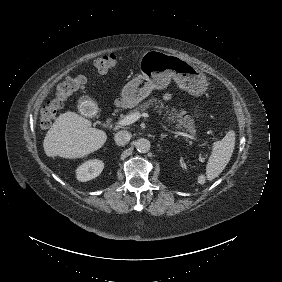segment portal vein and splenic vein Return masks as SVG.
I'll return each mask as SVG.
<instances>
[{"label": "portal vein and splenic vein", "instance_id": "portal-vein-and-splenic-vein-1", "mask_svg": "<svg viewBox=\"0 0 282 282\" xmlns=\"http://www.w3.org/2000/svg\"><path fill=\"white\" fill-rule=\"evenodd\" d=\"M142 116L148 117V114L147 113L141 114L139 112H135L130 115H127L124 119L120 120L118 124L121 126H126V125L136 122ZM158 124L162 126L163 128H165L166 130H168L169 132H171V134L174 137H184V138H187L188 140H191L192 142H195V143L199 142V139L197 137L191 136L189 133H186V132H177L175 131V129L172 126H169L167 123H165L162 120H159Z\"/></svg>", "mask_w": 282, "mask_h": 282}]
</instances>
